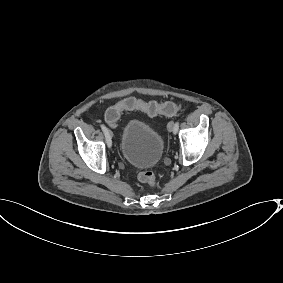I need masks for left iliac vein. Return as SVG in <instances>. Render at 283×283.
I'll return each mask as SVG.
<instances>
[{"mask_svg": "<svg viewBox=\"0 0 283 283\" xmlns=\"http://www.w3.org/2000/svg\"><path fill=\"white\" fill-rule=\"evenodd\" d=\"M167 128H168V131L174 132V122L173 121L169 122Z\"/></svg>", "mask_w": 283, "mask_h": 283, "instance_id": "4c4485c4", "label": "left iliac vein"}]
</instances>
